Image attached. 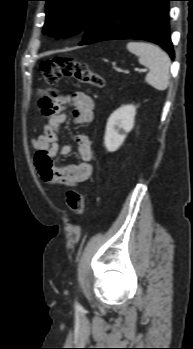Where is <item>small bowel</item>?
<instances>
[{
    "label": "small bowel",
    "instance_id": "c3829d8e",
    "mask_svg": "<svg viewBox=\"0 0 193 349\" xmlns=\"http://www.w3.org/2000/svg\"><path fill=\"white\" fill-rule=\"evenodd\" d=\"M65 105L72 106L75 123L86 125L92 121L94 111L92 97L85 92L74 91L58 100L52 113L41 110L47 122L41 133L32 138L31 143L36 151L35 166L45 182L77 186L93 174L91 163L93 152L89 137L78 134L75 136V143L80 161L76 164L62 163L61 158L69 155L72 150L71 146L59 143L60 127L67 118Z\"/></svg>",
    "mask_w": 193,
    "mask_h": 349
}]
</instances>
